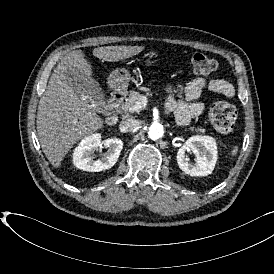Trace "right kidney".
<instances>
[{"mask_svg":"<svg viewBox=\"0 0 274 274\" xmlns=\"http://www.w3.org/2000/svg\"><path fill=\"white\" fill-rule=\"evenodd\" d=\"M102 145L107 152L98 160L93 159L94 151ZM123 149V141L117 137L101 140V134L95 133L81 140L73 152V164L84 171L99 172L111 168L118 161Z\"/></svg>","mask_w":274,"mask_h":274,"instance_id":"obj_1","label":"right kidney"}]
</instances>
